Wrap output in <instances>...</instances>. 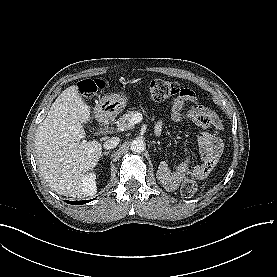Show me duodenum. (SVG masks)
Listing matches in <instances>:
<instances>
[{"label":"duodenum","instance_id":"410a0bca","mask_svg":"<svg viewBox=\"0 0 277 277\" xmlns=\"http://www.w3.org/2000/svg\"><path fill=\"white\" fill-rule=\"evenodd\" d=\"M104 113H105L104 108H100L98 113H97V120L102 125H108L109 121L104 117ZM155 135L159 136L160 135V131H156Z\"/></svg>","mask_w":277,"mask_h":277}]
</instances>
